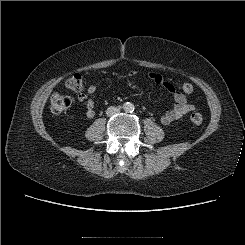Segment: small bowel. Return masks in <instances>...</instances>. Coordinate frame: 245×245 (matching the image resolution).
<instances>
[{"label": "small bowel", "instance_id": "1", "mask_svg": "<svg viewBox=\"0 0 245 245\" xmlns=\"http://www.w3.org/2000/svg\"><path fill=\"white\" fill-rule=\"evenodd\" d=\"M135 74L136 72L133 71L129 74V76L132 77ZM148 78L156 84L163 86L172 97L173 106L161 116L160 120L162 124L169 125L174 121L182 118L193 109V107L188 104L185 96L178 92L175 86L164 76L155 72H150L148 73ZM96 89V85L91 84L88 87L86 93L82 92L78 95V100L85 105L86 116L88 118H93L95 116V103L90 95L94 94L96 92Z\"/></svg>", "mask_w": 245, "mask_h": 245}]
</instances>
